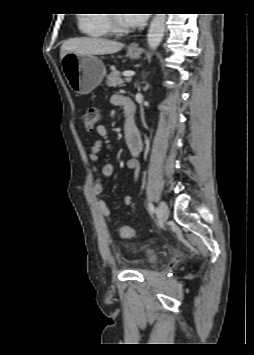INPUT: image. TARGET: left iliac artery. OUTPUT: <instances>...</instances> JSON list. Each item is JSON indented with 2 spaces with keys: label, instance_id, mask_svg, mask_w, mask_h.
Returning a JSON list of instances; mask_svg holds the SVG:
<instances>
[{
  "label": "left iliac artery",
  "instance_id": "1",
  "mask_svg": "<svg viewBox=\"0 0 254 355\" xmlns=\"http://www.w3.org/2000/svg\"><path fill=\"white\" fill-rule=\"evenodd\" d=\"M148 208H149L150 212H152V213L154 212V207L151 203L148 204Z\"/></svg>",
  "mask_w": 254,
  "mask_h": 355
}]
</instances>
